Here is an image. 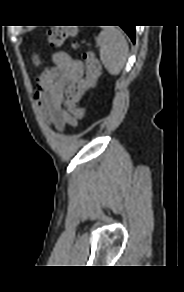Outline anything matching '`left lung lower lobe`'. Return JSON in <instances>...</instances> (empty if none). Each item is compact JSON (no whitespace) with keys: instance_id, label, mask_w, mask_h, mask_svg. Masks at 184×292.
Returning <instances> with one entry per match:
<instances>
[{"instance_id":"left-lung-lower-lobe-1","label":"left lung lower lobe","mask_w":184,"mask_h":292,"mask_svg":"<svg viewBox=\"0 0 184 292\" xmlns=\"http://www.w3.org/2000/svg\"><path fill=\"white\" fill-rule=\"evenodd\" d=\"M123 30L129 35L131 40L135 42V27L134 26H121Z\"/></svg>"}]
</instances>
